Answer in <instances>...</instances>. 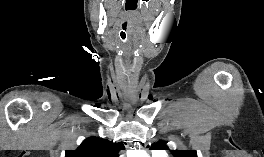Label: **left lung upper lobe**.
<instances>
[{"mask_svg":"<svg viewBox=\"0 0 264 157\" xmlns=\"http://www.w3.org/2000/svg\"><path fill=\"white\" fill-rule=\"evenodd\" d=\"M155 149H168L164 142L159 141L154 145ZM175 157H197L195 150H171Z\"/></svg>","mask_w":264,"mask_h":157,"instance_id":"left-lung-upper-lobe-1","label":"left lung upper lobe"}]
</instances>
